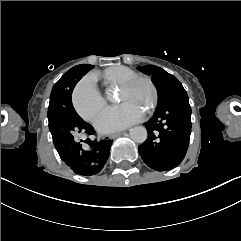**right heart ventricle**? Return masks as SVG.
Instances as JSON below:
<instances>
[{
    "label": "right heart ventricle",
    "mask_w": 241,
    "mask_h": 241,
    "mask_svg": "<svg viewBox=\"0 0 241 241\" xmlns=\"http://www.w3.org/2000/svg\"><path fill=\"white\" fill-rule=\"evenodd\" d=\"M132 74H135L132 69L122 65L115 64L105 69L102 74V77L106 83L118 85L120 90H122L124 88L129 87V86H122L123 79L126 76L132 75Z\"/></svg>",
    "instance_id": "obj_1"
}]
</instances>
